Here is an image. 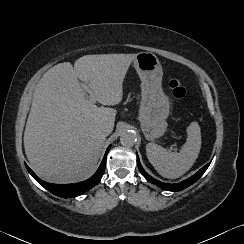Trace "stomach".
<instances>
[{"label":"stomach","mask_w":244,"mask_h":244,"mask_svg":"<svg viewBox=\"0 0 244 244\" xmlns=\"http://www.w3.org/2000/svg\"><path fill=\"white\" fill-rule=\"evenodd\" d=\"M134 67L142 81L139 122L145 137L156 139L167 130L170 115V103L164 94L162 66L158 57L151 52H139L133 61Z\"/></svg>","instance_id":"obj_1"}]
</instances>
